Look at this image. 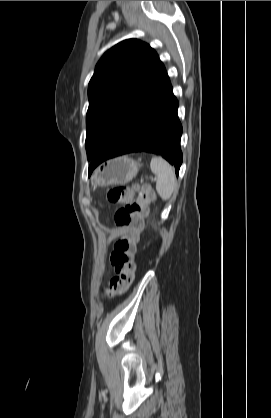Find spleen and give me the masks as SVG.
<instances>
[{
  "label": "spleen",
  "mask_w": 271,
  "mask_h": 418,
  "mask_svg": "<svg viewBox=\"0 0 271 418\" xmlns=\"http://www.w3.org/2000/svg\"><path fill=\"white\" fill-rule=\"evenodd\" d=\"M150 169L157 176V193L163 200H169L176 189L174 169L161 157H153L151 159Z\"/></svg>",
  "instance_id": "spleen-1"
}]
</instances>
